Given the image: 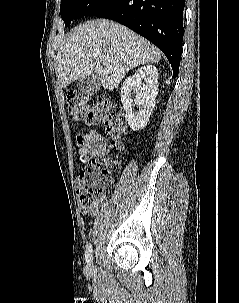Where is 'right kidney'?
<instances>
[{
  "mask_svg": "<svg viewBox=\"0 0 239 303\" xmlns=\"http://www.w3.org/2000/svg\"><path fill=\"white\" fill-rule=\"evenodd\" d=\"M144 80L145 83H142ZM136 97L131 98V92ZM158 94V70L155 66L147 65L136 70L134 75L125 79L121 86V102L126 112V119L133 131L143 129L149 121L155 107V98ZM139 106L135 113L133 106Z\"/></svg>",
  "mask_w": 239,
  "mask_h": 303,
  "instance_id": "1",
  "label": "right kidney"
}]
</instances>
